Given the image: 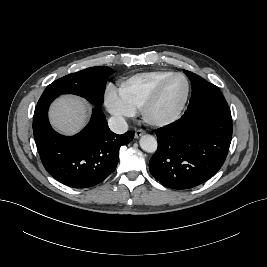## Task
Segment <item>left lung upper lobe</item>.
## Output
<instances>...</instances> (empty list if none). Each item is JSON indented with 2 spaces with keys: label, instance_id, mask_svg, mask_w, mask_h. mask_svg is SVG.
<instances>
[{
  "label": "left lung upper lobe",
  "instance_id": "5c2ea615",
  "mask_svg": "<svg viewBox=\"0 0 267 267\" xmlns=\"http://www.w3.org/2000/svg\"><path fill=\"white\" fill-rule=\"evenodd\" d=\"M184 73L189 77L191 83H192V97H203L206 94H211L214 96L212 99L214 100L215 106H220L223 103H227L224 96L220 92L219 88L207 81H205L200 76L184 70ZM212 90V92H210Z\"/></svg>",
  "mask_w": 267,
  "mask_h": 267
}]
</instances>
